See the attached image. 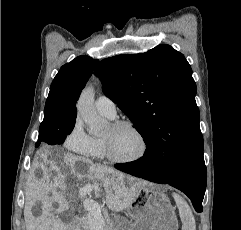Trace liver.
Masks as SVG:
<instances>
[{
  "instance_id": "obj_1",
  "label": "liver",
  "mask_w": 241,
  "mask_h": 230,
  "mask_svg": "<svg viewBox=\"0 0 241 230\" xmlns=\"http://www.w3.org/2000/svg\"><path fill=\"white\" fill-rule=\"evenodd\" d=\"M41 158L45 155H39ZM49 165V167H47ZM39 173L33 174L27 182L25 191L24 219L26 230H67V225L54 215L53 203L59 204L57 212L69 209L66 193L71 196L76 188L80 192L88 186L98 195L103 187L108 208L113 212L127 209L134 201L140 181L125 175L111 167L93 163L71 153H64L59 159H44L35 163ZM53 176V180L50 181ZM68 178L76 182L70 186ZM86 182L83 187L81 183ZM60 190L61 192H57ZM41 202L42 213L35 217L33 206Z\"/></svg>"
}]
</instances>
